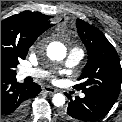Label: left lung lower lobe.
Instances as JSON below:
<instances>
[{"mask_svg":"<svg viewBox=\"0 0 122 122\" xmlns=\"http://www.w3.org/2000/svg\"><path fill=\"white\" fill-rule=\"evenodd\" d=\"M68 98L70 95L66 94ZM116 100L96 93H85L84 98L76 97L61 113L65 122H94L104 117Z\"/></svg>","mask_w":122,"mask_h":122,"instance_id":"obj_1","label":"left lung lower lobe"}]
</instances>
